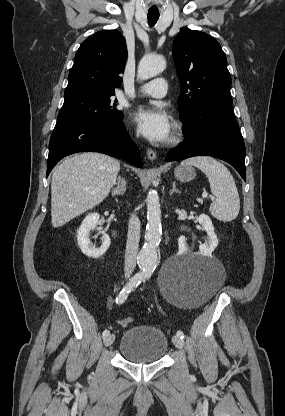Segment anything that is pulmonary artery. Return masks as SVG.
Instances as JSON below:
<instances>
[{
    "instance_id": "pulmonary-artery-1",
    "label": "pulmonary artery",
    "mask_w": 285,
    "mask_h": 416,
    "mask_svg": "<svg viewBox=\"0 0 285 416\" xmlns=\"http://www.w3.org/2000/svg\"><path fill=\"white\" fill-rule=\"evenodd\" d=\"M167 82L164 78H155L147 83H144L137 87V92L139 95H149L153 97H158L159 100L163 99L165 94V86Z\"/></svg>"
}]
</instances>
